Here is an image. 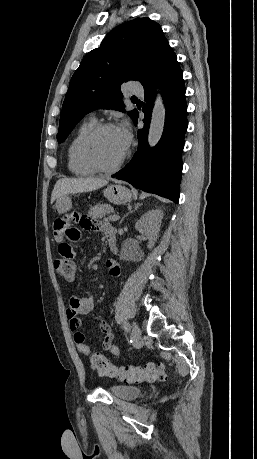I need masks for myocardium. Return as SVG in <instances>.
<instances>
[{"label":"myocardium","instance_id":"1","mask_svg":"<svg viewBox=\"0 0 257 459\" xmlns=\"http://www.w3.org/2000/svg\"><path fill=\"white\" fill-rule=\"evenodd\" d=\"M116 128L113 123L110 122H103L94 125L88 133L82 139L80 146H79V156L81 161L90 169L96 172L102 173H111L118 170L122 164L125 162L128 151L126 150L122 157L113 165L111 166H104L100 164L92 154V146L96 138L105 130Z\"/></svg>","mask_w":257,"mask_h":459}]
</instances>
